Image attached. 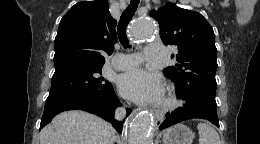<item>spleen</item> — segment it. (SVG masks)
Instances as JSON below:
<instances>
[{"label": "spleen", "mask_w": 260, "mask_h": 144, "mask_svg": "<svg viewBox=\"0 0 260 144\" xmlns=\"http://www.w3.org/2000/svg\"><path fill=\"white\" fill-rule=\"evenodd\" d=\"M199 144H221L217 131L206 123L197 125Z\"/></svg>", "instance_id": "spleen-1"}]
</instances>
